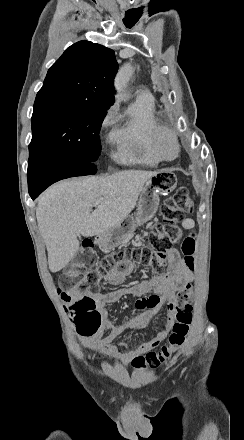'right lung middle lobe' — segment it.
Segmentation results:
<instances>
[{"label":"right lung middle lobe","instance_id":"dd1d6c3e","mask_svg":"<svg viewBox=\"0 0 244 440\" xmlns=\"http://www.w3.org/2000/svg\"><path fill=\"white\" fill-rule=\"evenodd\" d=\"M107 109L81 101H35L29 156L59 154L94 163L100 155L99 131Z\"/></svg>","mask_w":244,"mask_h":440}]
</instances>
